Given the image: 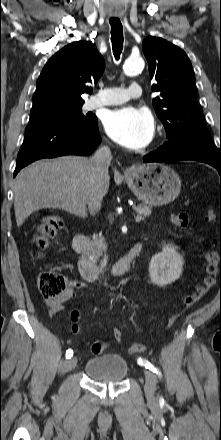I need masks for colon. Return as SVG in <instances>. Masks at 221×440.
<instances>
[{
    "label": "colon",
    "instance_id": "obj_1",
    "mask_svg": "<svg viewBox=\"0 0 221 440\" xmlns=\"http://www.w3.org/2000/svg\"><path fill=\"white\" fill-rule=\"evenodd\" d=\"M208 221H212L215 218V214L212 210H208L206 213ZM172 223L177 227H188L191 224V216L186 212H177L172 215ZM62 228V221L55 216L46 217L38 227V233L35 238V243L38 248L37 255L41 254L51 238H53ZM206 277L203 284L192 294L186 296L183 300L182 310H187L196 305L216 283V278L221 273V244L220 247L213 245L212 249L206 254ZM38 289L41 296L45 299H54L61 296L67 289L68 282L66 278L52 271H43L38 275L37 279ZM179 316V313L174 315L168 322V326H171L175 319ZM79 313L74 311L72 313L73 321H77ZM78 329L77 325H74V330ZM110 329L113 339H117L120 343L124 344L131 354H137L144 352L146 347L142 344L129 343L123 338L122 330H119V326L116 323L111 324ZM108 342L106 340H96L91 345V351L93 354L100 355L107 351Z\"/></svg>",
    "mask_w": 221,
    "mask_h": 440
}]
</instances>
